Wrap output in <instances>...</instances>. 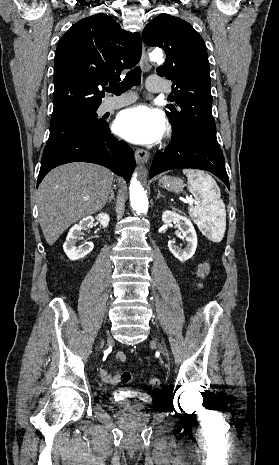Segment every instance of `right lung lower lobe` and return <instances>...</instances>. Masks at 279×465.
<instances>
[{
	"label": "right lung lower lobe",
	"mask_w": 279,
	"mask_h": 465,
	"mask_svg": "<svg viewBox=\"0 0 279 465\" xmlns=\"http://www.w3.org/2000/svg\"><path fill=\"white\" fill-rule=\"evenodd\" d=\"M77 161L103 165L127 182L135 168L132 148L113 137L107 124L99 130L79 134L43 155L37 186L51 169Z\"/></svg>",
	"instance_id": "98d812e1"
}]
</instances>
